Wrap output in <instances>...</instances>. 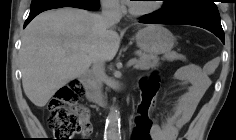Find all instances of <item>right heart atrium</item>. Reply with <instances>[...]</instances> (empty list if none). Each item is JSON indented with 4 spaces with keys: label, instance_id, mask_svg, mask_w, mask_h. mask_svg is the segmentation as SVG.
<instances>
[{
    "label": "right heart atrium",
    "instance_id": "1",
    "mask_svg": "<svg viewBox=\"0 0 236 140\" xmlns=\"http://www.w3.org/2000/svg\"><path fill=\"white\" fill-rule=\"evenodd\" d=\"M104 9L113 14H121L124 12V7L119 0H102Z\"/></svg>",
    "mask_w": 236,
    "mask_h": 140
}]
</instances>
